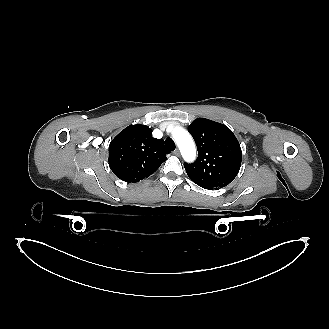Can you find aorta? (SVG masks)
<instances>
[{"mask_svg": "<svg viewBox=\"0 0 329 329\" xmlns=\"http://www.w3.org/2000/svg\"><path fill=\"white\" fill-rule=\"evenodd\" d=\"M174 142L177 144L183 159L192 162L196 158V147L192 136L182 127H175L172 131Z\"/></svg>", "mask_w": 329, "mask_h": 329, "instance_id": "aorta-1", "label": "aorta"}]
</instances>
